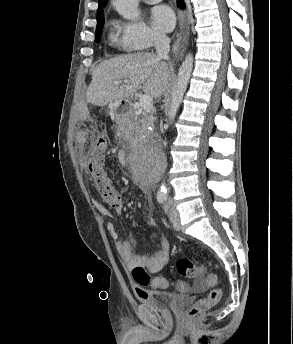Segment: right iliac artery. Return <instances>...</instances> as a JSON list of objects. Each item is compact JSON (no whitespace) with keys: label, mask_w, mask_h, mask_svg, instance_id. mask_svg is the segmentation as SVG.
Wrapping results in <instances>:
<instances>
[{"label":"right iliac artery","mask_w":293,"mask_h":344,"mask_svg":"<svg viewBox=\"0 0 293 344\" xmlns=\"http://www.w3.org/2000/svg\"><path fill=\"white\" fill-rule=\"evenodd\" d=\"M157 200H158V202L159 203H164L165 202V200H166V197L165 196H163V195H159L158 197H157Z\"/></svg>","instance_id":"right-iliac-artery-1"}]
</instances>
